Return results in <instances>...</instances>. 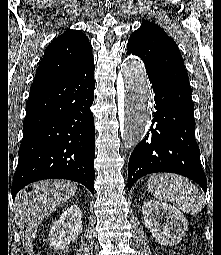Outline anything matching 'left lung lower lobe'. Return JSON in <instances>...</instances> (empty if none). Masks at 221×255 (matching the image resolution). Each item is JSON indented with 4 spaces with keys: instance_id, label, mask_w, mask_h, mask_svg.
<instances>
[{
    "instance_id": "0a47b994",
    "label": "left lung lower lobe",
    "mask_w": 221,
    "mask_h": 255,
    "mask_svg": "<svg viewBox=\"0 0 221 255\" xmlns=\"http://www.w3.org/2000/svg\"><path fill=\"white\" fill-rule=\"evenodd\" d=\"M147 74L155 93L156 112L150 132L130 156L128 190L146 174L172 172L192 179L206 192V176L195 140L191 92L156 74Z\"/></svg>"
}]
</instances>
